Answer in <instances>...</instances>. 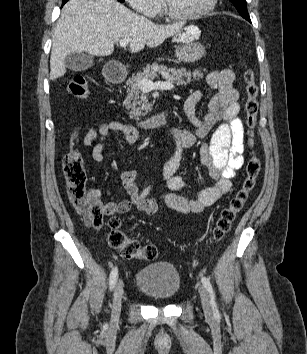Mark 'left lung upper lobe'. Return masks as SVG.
Here are the masks:
<instances>
[{
  "instance_id": "left-lung-upper-lobe-1",
  "label": "left lung upper lobe",
  "mask_w": 307,
  "mask_h": 354,
  "mask_svg": "<svg viewBox=\"0 0 307 354\" xmlns=\"http://www.w3.org/2000/svg\"><path fill=\"white\" fill-rule=\"evenodd\" d=\"M237 8L240 15L245 18L246 20H250L248 11H247V2L246 0H230Z\"/></svg>"
}]
</instances>
